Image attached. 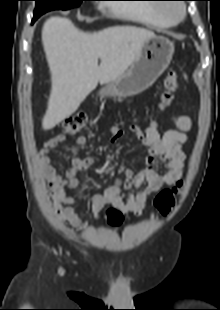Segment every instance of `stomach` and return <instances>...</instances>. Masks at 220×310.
<instances>
[{
	"instance_id": "obj_1",
	"label": "stomach",
	"mask_w": 220,
	"mask_h": 310,
	"mask_svg": "<svg viewBox=\"0 0 220 310\" xmlns=\"http://www.w3.org/2000/svg\"><path fill=\"white\" fill-rule=\"evenodd\" d=\"M173 53L174 45L166 37L155 36L148 39L130 67L100 90L101 98L130 97L143 92L169 66Z\"/></svg>"
}]
</instances>
